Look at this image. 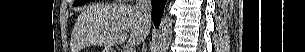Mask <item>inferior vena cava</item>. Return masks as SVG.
I'll return each mask as SVG.
<instances>
[{
    "label": "inferior vena cava",
    "instance_id": "obj_1",
    "mask_svg": "<svg viewBox=\"0 0 305 52\" xmlns=\"http://www.w3.org/2000/svg\"><path fill=\"white\" fill-rule=\"evenodd\" d=\"M135 7L140 13L141 20L146 26L148 34L151 26V0H136ZM142 51H146L145 44H143Z\"/></svg>",
    "mask_w": 305,
    "mask_h": 52
}]
</instances>
